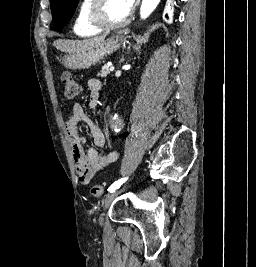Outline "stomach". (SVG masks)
<instances>
[{"instance_id":"stomach-1","label":"stomach","mask_w":256,"mask_h":267,"mask_svg":"<svg viewBox=\"0 0 256 267\" xmlns=\"http://www.w3.org/2000/svg\"><path fill=\"white\" fill-rule=\"evenodd\" d=\"M128 36L126 30H120V32H115L113 36L101 42L99 46L95 48H88L86 52H80V54H71L67 56L66 60L69 62H62V67H71V70H84V68H90V66H95L113 52H117L123 42H126Z\"/></svg>"}]
</instances>
